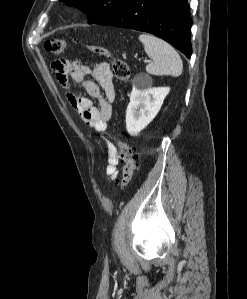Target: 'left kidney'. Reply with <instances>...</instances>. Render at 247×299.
<instances>
[{"mask_svg":"<svg viewBox=\"0 0 247 299\" xmlns=\"http://www.w3.org/2000/svg\"><path fill=\"white\" fill-rule=\"evenodd\" d=\"M169 91V87H154L149 90L133 87L126 110V129L131 136H137L152 122Z\"/></svg>","mask_w":247,"mask_h":299,"instance_id":"5707ae66","label":"left kidney"}]
</instances>
